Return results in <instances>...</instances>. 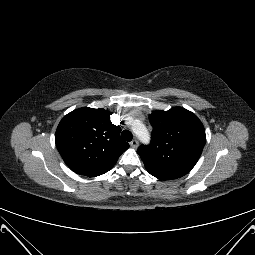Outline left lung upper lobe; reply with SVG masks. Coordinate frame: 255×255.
Returning <instances> with one entry per match:
<instances>
[{
  "label": "left lung upper lobe",
  "mask_w": 255,
  "mask_h": 255,
  "mask_svg": "<svg viewBox=\"0 0 255 255\" xmlns=\"http://www.w3.org/2000/svg\"><path fill=\"white\" fill-rule=\"evenodd\" d=\"M149 120L153 127L151 143L137 150L147 171L160 180L184 176L195 166L204 148L203 124L194 113L181 107L155 111Z\"/></svg>",
  "instance_id": "1"
}]
</instances>
